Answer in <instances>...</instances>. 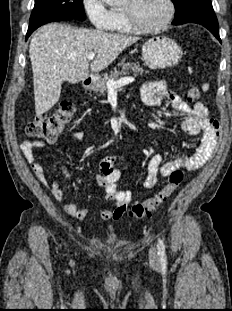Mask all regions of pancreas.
Returning <instances> with one entry per match:
<instances>
[{
	"label": "pancreas",
	"mask_w": 232,
	"mask_h": 311,
	"mask_svg": "<svg viewBox=\"0 0 232 311\" xmlns=\"http://www.w3.org/2000/svg\"><path fill=\"white\" fill-rule=\"evenodd\" d=\"M130 72L133 73L134 76L140 74L142 75L144 73V69L140 67L139 65L125 63L122 65V70L118 71L117 69L114 70L109 76H105L104 78L100 79L98 90L100 94H104L107 89V81L113 80L117 81L119 77L129 74ZM147 73V72H146Z\"/></svg>",
	"instance_id": "1"
}]
</instances>
